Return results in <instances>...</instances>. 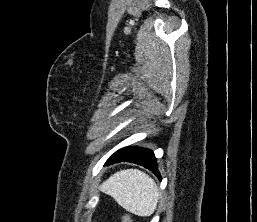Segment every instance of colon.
<instances>
[{
  "label": "colon",
  "mask_w": 257,
  "mask_h": 222,
  "mask_svg": "<svg viewBox=\"0 0 257 222\" xmlns=\"http://www.w3.org/2000/svg\"><path fill=\"white\" fill-rule=\"evenodd\" d=\"M122 222H132L129 215H124L122 218Z\"/></svg>",
  "instance_id": "obj_1"
}]
</instances>
